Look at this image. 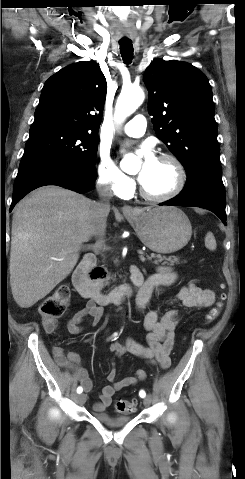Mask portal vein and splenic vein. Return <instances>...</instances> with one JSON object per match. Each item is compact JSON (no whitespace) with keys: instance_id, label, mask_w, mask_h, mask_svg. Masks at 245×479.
<instances>
[{"instance_id":"18ae733b","label":"portal vein and splenic vein","mask_w":245,"mask_h":479,"mask_svg":"<svg viewBox=\"0 0 245 479\" xmlns=\"http://www.w3.org/2000/svg\"><path fill=\"white\" fill-rule=\"evenodd\" d=\"M138 253H139L140 255H144V252H143L142 250H138Z\"/></svg>"}]
</instances>
